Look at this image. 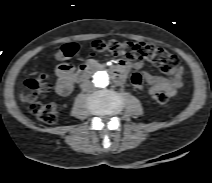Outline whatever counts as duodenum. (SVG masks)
<instances>
[{
	"label": "duodenum",
	"instance_id": "obj_1",
	"mask_svg": "<svg viewBox=\"0 0 212 183\" xmlns=\"http://www.w3.org/2000/svg\"><path fill=\"white\" fill-rule=\"evenodd\" d=\"M103 68L104 66H100L95 63L83 64L76 71L75 79L77 82H83L87 78H89L93 73H95L97 70L103 69ZM110 77L116 83H121L124 80L123 72L119 67L110 70Z\"/></svg>",
	"mask_w": 212,
	"mask_h": 183
}]
</instances>
